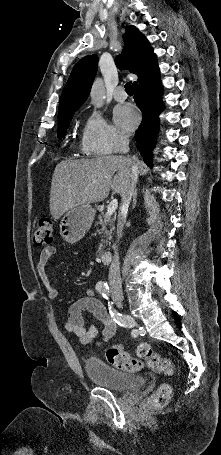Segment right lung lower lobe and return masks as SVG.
I'll return each instance as SVG.
<instances>
[{"label": "right lung lower lobe", "mask_w": 221, "mask_h": 455, "mask_svg": "<svg viewBox=\"0 0 221 455\" xmlns=\"http://www.w3.org/2000/svg\"><path fill=\"white\" fill-rule=\"evenodd\" d=\"M134 100L142 112V122L135 139L144 162L151 166L152 150L159 130V114L163 110L162 86L157 59L151 62L133 84Z\"/></svg>", "instance_id": "98d812e1"}]
</instances>
